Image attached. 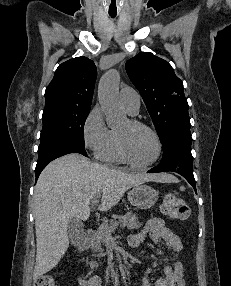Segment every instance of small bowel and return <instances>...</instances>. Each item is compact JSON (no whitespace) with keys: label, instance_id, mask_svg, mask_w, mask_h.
Wrapping results in <instances>:
<instances>
[{"label":"small bowel","instance_id":"c3829d8e","mask_svg":"<svg viewBox=\"0 0 231 286\" xmlns=\"http://www.w3.org/2000/svg\"><path fill=\"white\" fill-rule=\"evenodd\" d=\"M147 235L158 245V253H161L162 248H165L174 261L167 263L164 259L155 260L146 269L142 278V286H185L183 264L176 260V257L183 250V244L178 234L163 219L151 218L146 221L138 233L132 234L129 237V245L133 248L140 247ZM158 266L163 267L164 275L152 283L150 274ZM80 284L81 286H101V278L98 275L82 276Z\"/></svg>","mask_w":231,"mask_h":286}]
</instances>
